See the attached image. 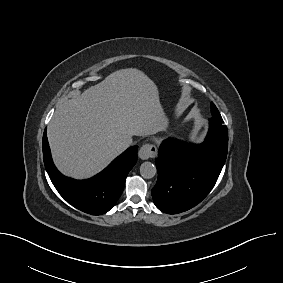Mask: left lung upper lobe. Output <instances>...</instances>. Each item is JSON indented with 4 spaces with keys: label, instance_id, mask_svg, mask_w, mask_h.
Masks as SVG:
<instances>
[{
    "label": "left lung upper lobe",
    "instance_id": "left-lung-upper-lobe-1",
    "mask_svg": "<svg viewBox=\"0 0 283 283\" xmlns=\"http://www.w3.org/2000/svg\"><path fill=\"white\" fill-rule=\"evenodd\" d=\"M211 113H212V119L215 120L216 122L219 123H224L218 109L216 108V106L214 105V103H211Z\"/></svg>",
    "mask_w": 283,
    "mask_h": 283
}]
</instances>
